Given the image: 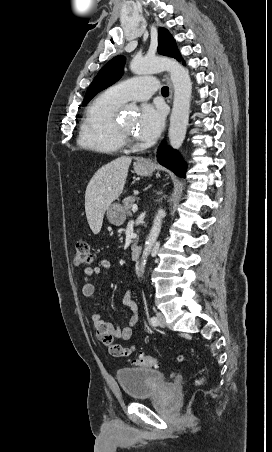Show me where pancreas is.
Masks as SVG:
<instances>
[{
    "instance_id": "obj_1",
    "label": "pancreas",
    "mask_w": 272,
    "mask_h": 452,
    "mask_svg": "<svg viewBox=\"0 0 272 452\" xmlns=\"http://www.w3.org/2000/svg\"><path fill=\"white\" fill-rule=\"evenodd\" d=\"M135 201H136V199H135L134 196H128V197H126V198L123 200L124 210H125V213H126L128 216L131 215V209H132V206L134 205V202H135ZM135 242H136V241H134V244H133L132 247H134Z\"/></svg>"
}]
</instances>
